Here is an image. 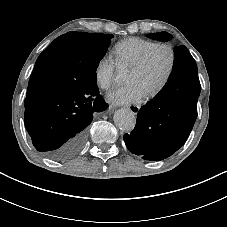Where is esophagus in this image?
Returning <instances> with one entry per match:
<instances>
[{
  "mask_svg": "<svg viewBox=\"0 0 227 227\" xmlns=\"http://www.w3.org/2000/svg\"><path fill=\"white\" fill-rule=\"evenodd\" d=\"M126 108L130 110L133 114H137L140 110V106L138 105H127Z\"/></svg>",
  "mask_w": 227,
  "mask_h": 227,
  "instance_id": "34e87169",
  "label": "esophagus"
}]
</instances>
